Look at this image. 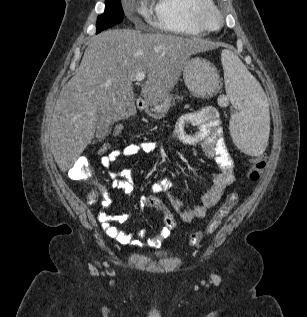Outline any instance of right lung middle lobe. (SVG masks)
<instances>
[{
	"instance_id": "right-lung-middle-lobe-1",
	"label": "right lung middle lobe",
	"mask_w": 307,
	"mask_h": 317,
	"mask_svg": "<svg viewBox=\"0 0 307 317\" xmlns=\"http://www.w3.org/2000/svg\"><path fill=\"white\" fill-rule=\"evenodd\" d=\"M120 1L121 0H105V11L97 18L96 33L122 22L124 12Z\"/></svg>"
}]
</instances>
